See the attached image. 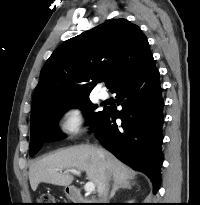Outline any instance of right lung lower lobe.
I'll list each match as a JSON object with an SVG mask.
<instances>
[{
  "label": "right lung lower lobe",
  "mask_w": 200,
  "mask_h": 205,
  "mask_svg": "<svg viewBox=\"0 0 200 205\" xmlns=\"http://www.w3.org/2000/svg\"><path fill=\"white\" fill-rule=\"evenodd\" d=\"M123 109L105 108L95 123L102 146L135 170L144 172L159 189L162 164L163 99L159 72L152 59L113 91ZM120 118L122 123L117 124Z\"/></svg>",
  "instance_id": "1"
}]
</instances>
